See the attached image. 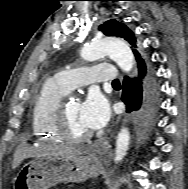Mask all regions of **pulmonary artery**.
I'll list each match as a JSON object with an SVG mask.
<instances>
[{"label": "pulmonary artery", "mask_w": 188, "mask_h": 189, "mask_svg": "<svg viewBox=\"0 0 188 189\" xmlns=\"http://www.w3.org/2000/svg\"><path fill=\"white\" fill-rule=\"evenodd\" d=\"M118 78L111 64H97L92 67L67 69L58 72L54 79L67 91L90 83L113 82Z\"/></svg>", "instance_id": "1"}]
</instances>
